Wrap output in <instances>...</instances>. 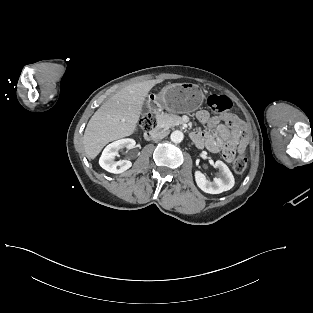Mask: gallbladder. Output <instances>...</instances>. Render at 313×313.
Wrapping results in <instances>:
<instances>
[{
    "mask_svg": "<svg viewBox=\"0 0 313 313\" xmlns=\"http://www.w3.org/2000/svg\"><path fill=\"white\" fill-rule=\"evenodd\" d=\"M144 108H145V110H147V106L146 105L144 106Z\"/></svg>",
    "mask_w": 313,
    "mask_h": 313,
    "instance_id": "obj_1",
    "label": "gallbladder"
}]
</instances>
